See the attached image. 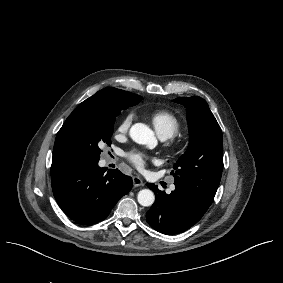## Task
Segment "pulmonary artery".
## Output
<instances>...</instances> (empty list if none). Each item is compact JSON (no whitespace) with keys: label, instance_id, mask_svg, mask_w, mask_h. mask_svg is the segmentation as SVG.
I'll return each mask as SVG.
<instances>
[{"label":"pulmonary artery","instance_id":"pulmonary-artery-1","mask_svg":"<svg viewBox=\"0 0 283 283\" xmlns=\"http://www.w3.org/2000/svg\"><path fill=\"white\" fill-rule=\"evenodd\" d=\"M174 190H175V185L173 183H171L169 188H168V192H172Z\"/></svg>","mask_w":283,"mask_h":283}]
</instances>
